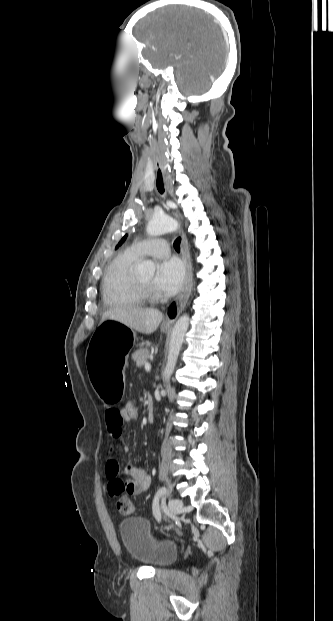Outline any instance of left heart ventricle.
Masks as SVG:
<instances>
[{
	"mask_svg": "<svg viewBox=\"0 0 333 621\" xmlns=\"http://www.w3.org/2000/svg\"><path fill=\"white\" fill-rule=\"evenodd\" d=\"M139 281L147 286L153 287L154 288V277L153 275H149L146 277H142L139 279Z\"/></svg>",
	"mask_w": 333,
	"mask_h": 621,
	"instance_id": "b2bd125f",
	"label": "left heart ventricle"
}]
</instances>
